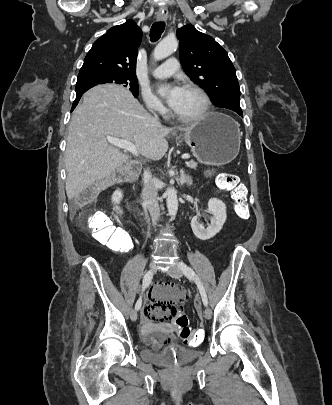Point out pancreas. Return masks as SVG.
Returning <instances> with one entry per match:
<instances>
[{"label":"pancreas","mask_w":332,"mask_h":405,"mask_svg":"<svg viewBox=\"0 0 332 405\" xmlns=\"http://www.w3.org/2000/svg\"><path fill=\"white\" fill-rule=\"evenodd\" d=\"M189 168H196L197 163L194 161H189L188 164H186Z\"/></svg>","instance_id":"1"}]
</instances>
